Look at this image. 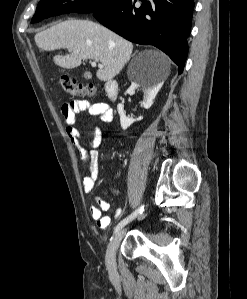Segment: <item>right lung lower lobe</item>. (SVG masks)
<instances>
[{
    "mask_svg": "<svg viewBox=\"0 0 247 299\" xmlns=\"http://www.w3.org/2000/svg\"><path fill=\"white\" fill-rule=\"evenodd\" d=\"M121 0L93 13L104 26L125 39L153 45L178 65L181 74L188 54L193 0Z\"/></svg>",
    "mask_w": 247,
    "mask_h": 299,
    "instance_id": "right-lung-lower-lobe-1",
    "label": "right lung lower lobe"
}]
</instances>
